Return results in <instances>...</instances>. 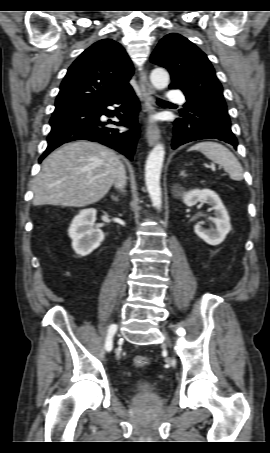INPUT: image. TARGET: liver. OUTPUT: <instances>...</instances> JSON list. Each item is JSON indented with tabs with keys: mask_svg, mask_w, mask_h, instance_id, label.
Returning <instances> with one entry per match:
<instances>
[{
	"mask_svg": "<svg viewBox=\"0 0 270 453\" xmlns=\"http://www.w3.org/2000/svg\"><path fill=\"white\" fill-rule=\"evenodd\" d=\"M119 157L98 143L77 141L52 152L33 184V205L84 207L101 200L114 183Z\"/></svg>",
	"mask_w": 270,
	"mask_h": 453,
	"instance_id": "obj_1",
	"label": "liver"
}]
</instances>
